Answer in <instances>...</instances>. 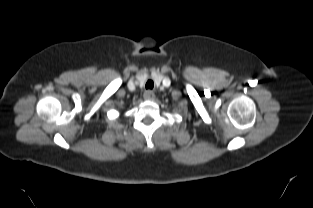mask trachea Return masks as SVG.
Segmentation results:
<instances>
[{
	"mask_svg": "<svg viewBox=\"0 0 313 208\" xmlns=\"http://www.w3.org/2000/svg\"><path fill=\"white\" fill-rule=\"evenodd\" d=\"M145 87H146V89H153V87H154L153 81L148 80Z\"/></svg>",
	"mask_w": 313,
	"mask_h": 208,
	"instance_id": "trachea-1",
	"label": "trachea"
}]
</instances>
